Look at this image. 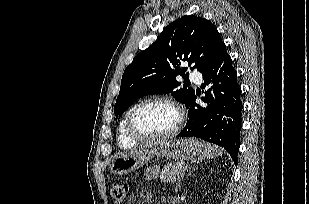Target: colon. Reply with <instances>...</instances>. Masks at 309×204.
I'll use <instances>...</instances> for the list:
<instances>
[{
    "label": "colon",
    "mask_w": 309,
    "mask_h": 204,
    "mask_svg": "<svg viewBox=\"0 0 309 204\" xmlns=\"http://www.w3.org/2000/svg\"><path fill=\"white\" fill-rule=\"evenodd\" d=\"M127 194V187L122 183H113L110 186V195L114 204H122Z\"/></svg>",
    "instance_id": "5ec220e1"
}]
</instances>
